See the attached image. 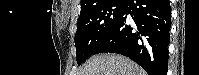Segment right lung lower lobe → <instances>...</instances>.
I'll return each instance as SVG.
<instances>
[{"label":"right lung lower lobe","mask_w":199,"mask_h":75,"mask_svg":"<svg viewBox=\"0 0 199 75\" xmlns=\"http://www.w3.org/2000/svg\"><path fill=\"white\" fill-rule=\"evenodd\" d=\"M170 28L169 0H127L118 23L93 54H122L149 75H167Z\"/></svg>","instance_id":"1"}]
</instances>
